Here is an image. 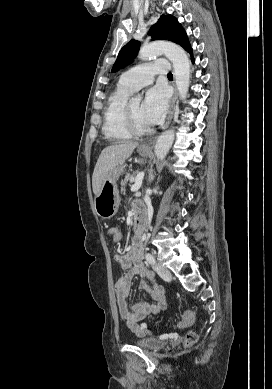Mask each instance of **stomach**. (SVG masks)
Masks as SVG:
<instances>
[{
    "label": "stomach",
    "instance_id": "stomach-1",
    "mask_svg": "<svg viewBox=\"0 0 272 389\" xmlns=\"http://www.w3.org/2000/svg\"><path fill=\"white\" fill-rule=\"evenodd\" d=\"M138 152L142 157H147L151 151L139 147ZM124 169L125 165L123 164L117 165L111 169L106 175L99 194L95 196L94 206L96 214L103 219H110L118 211L120 196L116 181L124 172Z\"/></svg>",
    "mask_w": 272,
    "mask_h": 389
}]
</instances>
